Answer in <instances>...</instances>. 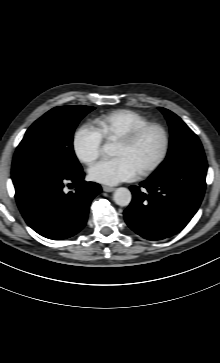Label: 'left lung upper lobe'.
<instances>
[{
    "instance_id": "left-lung-upper-lobe-1",
    "label": "left lung upper lobe",
    "mask_w": 220,
    "mask_h": 363,
    "mask_svg": "<svg viewBox=\"0 0 220 363\" xmlns=\"http://www.w3.org/2000/svg\"><path fill=\"white\" fill-rule=\"evenodd\" d=\"M170 127V144L166 159L156 172L165 171L187 158H205L202 145L196 134L173 112L159 108Z\"/></svg>"
}]
</instances>
